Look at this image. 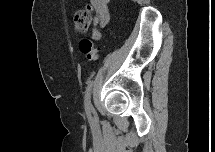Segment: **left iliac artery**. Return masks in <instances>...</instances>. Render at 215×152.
I'll list each match as a JSON object with an SVG mask.
<instances>
[{
    "label": "left iliac artery",
    "mask_w": 215,
    "mask_h": 152,
    "mask_svg": "<svg viewBox=\"0 0 215 152\" xmlns=\"http://www.w3.org/2000/svg\"><path fill=\"white\" fill-rule=\"evenodd\" d=\"M92 85H93V81H89L85 91V96H84L85 110L88 114H90V109H91L90 95H91Z\"/></svg>",
    "instance_id": "44dca946"
}]
</instances>
